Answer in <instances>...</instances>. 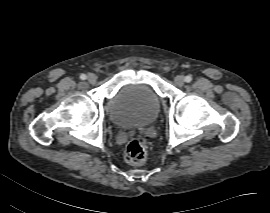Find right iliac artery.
<instances>
[{"label": "right iliac artery", "instance_id": "82829eb1", "mask_svg": "<svg viewBox=\"0 0 270 213\" xmlns=\"http://www.w3.org/2000/svg\"><path fill=\"white\" fill-rule=\"evenodd\" d=\"M87 77L85 74H81L80 79L85 80Z\"/></svg>", "mask_w": 270, "mask_h": 213}]
</instances>
